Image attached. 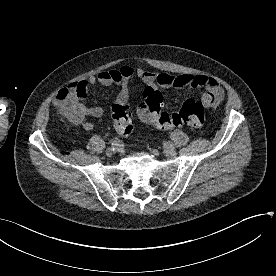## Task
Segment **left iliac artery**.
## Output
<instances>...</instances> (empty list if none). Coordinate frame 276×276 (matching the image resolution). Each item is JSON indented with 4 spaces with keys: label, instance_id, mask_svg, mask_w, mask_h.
Returning a JSON list of instances; mask_svg holds the SVG:
<instances>
[{
    "label": "left iliac artery",
    "instance_id": "obj_1",
    "mask_svg": "<svg viewBox=\"0 0 276 276\" xmlns=\"http://www.w3.org/2000/svg\"><path fill=\"white\" fill-rule=\"evenodd\" d=\"M164 148H166V149H174V144L172 142L168 141V142H166L164 144Z\"/></svg>",
    "mask_w": 276,
    "mask_h": 276
}]
</instances>
